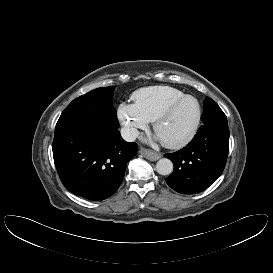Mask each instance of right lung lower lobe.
<instances>
[{"mask_svg": "<svg viewBox=\"0 0 273 273\" xmlns=\"http://www.w3.org/2000/svg\"><path fill=\"white\" fill-rule=\"evenodd\" d=\"M52 149L63 185L75 195L98 201L119 188L137 144L124 141L118 128L80 123L55 130Z\"/></svg>", "mask_w": 273, "mask_h": 273, "instance_id": "right-lung-lower-lobe-1", "label": "right lung lower lobe"}]
</instances>
